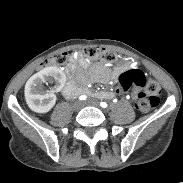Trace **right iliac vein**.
I'll return each instance as SVG.
<instances>
[{
    "instance_id": "63e3f726",
    "label": "right iliac vein",
    "mask_w": 183,
    "mask_h": 183,
    "mask_svg": "<svg viewBox=\"0 0 183 183\" xmlns=\"http://www.w3.org/2000/svg\"><path fill=\"white\" fill-rule=\"evenodd\" d=\"M82 106H83L82 102L76 101V102L73 103L72 107H73L74 110L77 111V110H80L82 108Z\"/></svg>"
}]
</instances>
